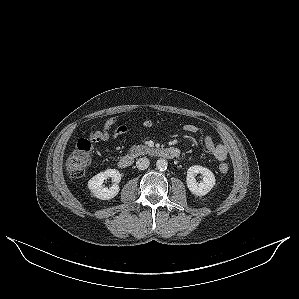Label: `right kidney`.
<instances>
[{
  "label": "right kidney",
  "mask_w": 299,
  "mask_h": 299,
  "mask_svg": "<svg viewBox=\"0 0 299 299\" xmlns=\"http://www.w3.org/2000/svg\"><path fill=\"white\" fill-rule=\"evenodd\" d=\"M111 178L114 184L111 187H103V182L107 178ZM121 180V174L116 169H107L104 172H100L93 176L88 181V188L94 194L95 197L101 200H109L114 198L119 193L118 183Z\"/></svg>",
  "instance_id": "ca27d5eb"
}]
</instances>
